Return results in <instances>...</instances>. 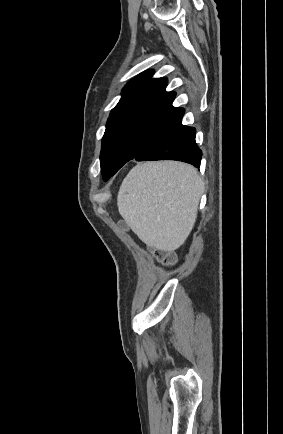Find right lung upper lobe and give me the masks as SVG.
Returning <instances> with one entry per match:
<instances>
[{
  "mask_svg": "<svg viewBox=\"0 0 283 434\" xmlns=\"http://www.w3.org/2000/svg\"><path fill=\"white\" fill-rule=\"evenodd\" d=\"M152 75L151 70L146 71L127 83L108 120L130 115H150L174 121L183 117L184 109L172 106L176 93L165 90L167 78H152Z\"/></svg>",
  "mask_w": 283,
  "mask_h": 434,
  "instance_id": "cb5924a9",
  "label": "right lung upper lobe"
}]
</instances>
